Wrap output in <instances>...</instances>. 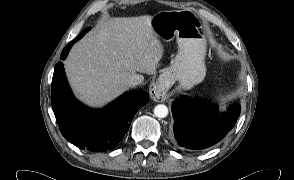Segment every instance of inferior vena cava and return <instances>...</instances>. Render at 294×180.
<instances>
[{
  "instance_id": "inferior-vena-cava-1",
  "label": "inferior vena cava",
  "mask_w": 294,
  "mask_h": 180,
  "mask_svg": "<svg viewBox=\"0 0 294 180\" xmlns=\"http://www.w3.org/2000/svg\"><path fill=\"white\" fill-rule=\"evenodd\" d=\"M143 81H144V76L143 75H141V74H133L127 80V84H128L129 87H134V86L142 84Z\"/></svg>"
}]
</instances>
